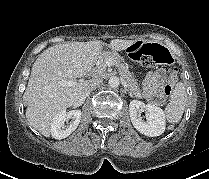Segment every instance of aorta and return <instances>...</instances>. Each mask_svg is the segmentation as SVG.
Masks as SVG:
<instances>
[{"label":"aorta","mask_w":209,"mask_h":179,"mask_svg":"<svg viewBox=\"0 0 209 179\" xmlns=\"http://www.w3.org/2000/svg\"><path fill=\"white\" fill-rule=\"evenodd\" d=\"M108 83L111 88H117L120 84V80L117 76H113L109 79Z\"/></svg>","instance_id":"aorta-1"}]
</instances>
